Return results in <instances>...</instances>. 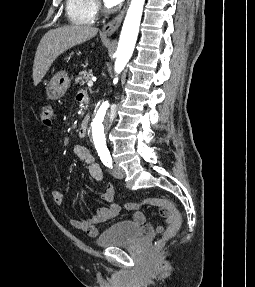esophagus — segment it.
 <instances>
[{
  "label": "esophagus",
  "instance_id": "obj_1",
  "mask_svg": "<svg viewBox=\"0 0 255 287\" xmlns=\"http://www.w3.org/2000/svg\"><path fill=\"white\" fill-rule=\"evenodd\" d=\"M125 12H126V9L123 8L116 17L110 20V22L106 23L102 28V34H105L107 36L113 35L116 32V30L120 27L122 20L124 18Z\"/></svg>",
  "mask_w": 255,
  "mask_h": 287
}]
</instances>
